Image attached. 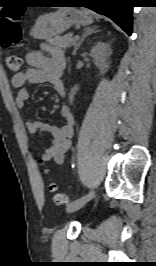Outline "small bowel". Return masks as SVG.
<instances>
[{
	"label": "small bowel",
	"mask_w": 156,
	"mask_h": 266,
	"mask_svg": "<svg viewBox=\"0 0 156 266\" xmlns=\"http://www.w3.org/2000/svg\"><path fill=\"white\" fill-rule=\"evenodd\" d=\"M44 51H31L26 55L28 68L16 73L11 78V84L16 89L15 103L18 109L24 110L29 100L28 84L49 83L60 96L65 94L62 80L63 71L66 66L64 54L59 49L44 45ZM60 114L64 124L57 127L44 123L40 120L25 119V125L31 134L49 132L51 134L50 146L39 153L41 161L53 160L58 164L63 163L67 152L72 146L74 132V116L68 105H62Z\"/></svg>",
	"instance_id": "c3829d8e"
}]
</instances>
